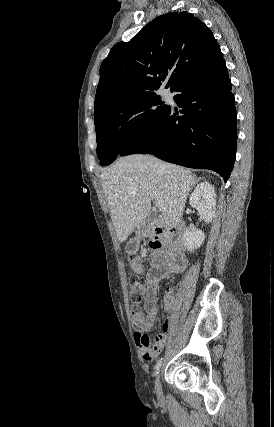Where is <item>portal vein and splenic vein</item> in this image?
Masks as SVG:
<instances>
[{
	"label": "portal vein and splenic vein",
	"mask_w": 274,
	"mask_h": 427,
	"mask_svg": "<svg viewBox=\"0 0 274 427\" xmlns=\"http://www.w3.org/2000/svg\"><path fill=\"white\" fill-rule=\"evenodd\" d=\"M155 204H156V208H159V210H162L163 206H162L161 200H156Z\"/></svg>",
	"instance_id": "obj_1"
}]
</instances>
